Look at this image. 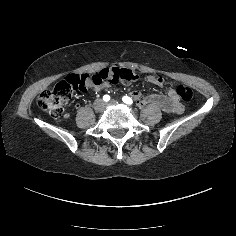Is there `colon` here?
<instances>
[{
    "instance_id": "obj_1",
    "label": "colon",
    "mask_w": 236,
    "mask_h": 236,
    "mask_svg": "<svg viewBox=\"0 0 236 236\" xmlns=\"http://www.w3.org/2000/svg\"><path fill=\"white\" fill-rule=\"evenodd\" d=\"M137 78L133 71L117 67L103 69L94 75L71 74L59 81L52 89L43 91L38 96L37 104L53 118H61L68 100L76 91L95 90L105 84H129ZM176 94L183 101H190L193 97L192 90L182 85L177 87Z\"/></svg>"
}]
</instances>
